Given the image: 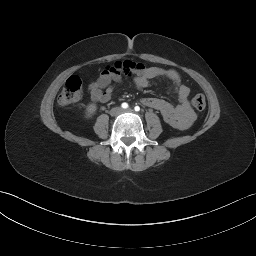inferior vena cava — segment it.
I'll return each instance as SVG.
<instances>
[{
    "label": "inferior vena cava",
    "mask_w": 256,
    "mask_h": 256,
    "mask_svg": "<svg viewBox=\"0 0 256 256\" xmlns=\"http://www.w3.org/2000/svg\"><path fill=\"white\" fill-rule=\"evenodd\" d=\"M117 113V111L115 110V109H113L112 111H111V114L112 115H115Z\"/></svg>",
    "instance_id": "602c4592"
}]
</instances>
